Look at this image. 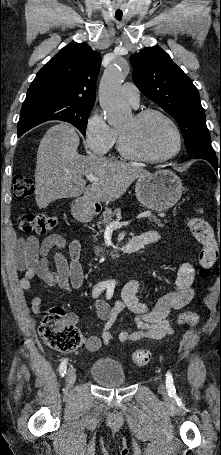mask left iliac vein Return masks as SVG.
<instances>
[{
    "label": "left iliac vein",
    "instance_id": "left-iliac-vein-1",
    "mask_svg": "<svg viewBox=\"0 0 221 455\" xmlns=\"http://www.w3.org/2000/svg\"><path fill=\"white\" fill-rule=\"evenodd\" d=\"M159 390L161 392H164L165 391V386H164V383L162 381L159 382Z\"/></svg>",
    "mask_w": 221,
    "mask_h": 455
}]
</instances>
